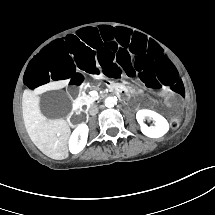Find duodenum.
<instances>
[{
  "label": "duodenum",
  "mask_w": 215,
  "mask_h": 215,
  "mask_svg": "<svg viewBox=\"0 0 215 215\" xmlns=\"http://www.w3.org/2000/svg\"><path fill=\"white\" fill-rule=\"evenodd\" d=\"M110 92L122 101H126L132 96L130 91L118 86H111ZM98 100H100V98L96 99V102H98Z\"/></svg>",
  "instance_id": "obj_1"
}]
</instances>
